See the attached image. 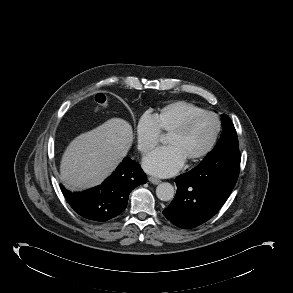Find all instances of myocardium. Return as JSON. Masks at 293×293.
<instances>
[{"label": "myocardium", "instance_id": "1", "mask_svg": "<svg viewBox=\"0 0 293 293\" xmlns=\"http://www.w3.org/2000/svg\"><path fill=\"white\" fill-rule=\"evenodd\" d=\"M203 116H210L215 120V124H216L215 132L211 141L206 146V148L202 150L199 154L195 155L193 158L187 160L189 164H194L201 161L207 155H209L211 151L214 149V147L216 146L220 133H221V129H222V123H221L220 117L213 111L203 110L188 117L180 126H178L177 128H175L169 133V135H183L186 132H188V130L199 118Z\"/></svg>", "mask_w": 293, "mask_h": 293}]
</instances>
